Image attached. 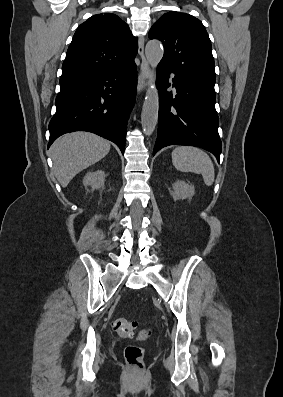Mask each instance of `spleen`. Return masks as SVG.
<instances>
[{
    "instance_id": "3e777b00",
    "label": "spleen",
    "mask_w": 283,
    "mask_h": 397,
    "mask_svg": "<svg viewBox=\"0 0 283 397\" xmlns=\"http://www.w3.org/2000/svg\"><path fill=\"white\" fill-rule=\"evenodd\" d=\"M172 163L182 172L202 174L207 186L214 182L215 172L211 158L201 149L191 146H179L172 152Z\"/></svg>"
}]
</instances>
